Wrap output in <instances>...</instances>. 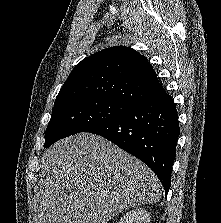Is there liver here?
I'll list each match as a JSON object with an SVG mask.
<instances>
[{"instance_id": "liver-1", "label": "liver", "mask_w": 221, "mask_h": 223, "mask_svg": "<svg viewBox=\"0 0 221 223\" xmlns=\"http://www.w3.org/2000/svg\"><path fill=\"white\" fill-rule=\"evenodd\" d=\"M40 168L36 223H106L161 197V184L150 168L90 133L56 142L45 151Z\"/></svg>"}]
</instances>
